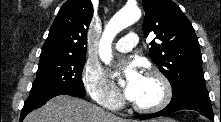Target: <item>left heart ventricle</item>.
Listing matches in <instances>:
<instances>
[{
  "mask_svg": "<svg viewBox=\"0 0 221 122\" xmlns=\"http://www.w3.org/2000/svg\"><path fill=\"white\" fill-rule=\"evenodd\" d=\"M161 95L162 89L159 82L154 78L144 77L142 86L132 101L138 105L149 106L158 102Z\"/></svg>",
  "mask_w": 221,
  "mask_h": 122,
  "instance_id": "1",
  "label": "left heart ventricle"
}]
</instances>
